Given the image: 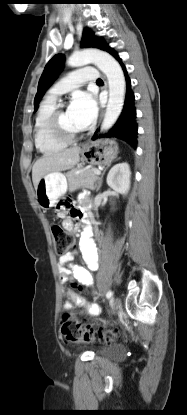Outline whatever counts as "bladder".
<instances>
[{
    "instance_id": "31cf9c89",
    "label": "bladder",
    "mask_w": 187,
    "mask_h": 415,
    "mask_svg": "<svg viewBox=\"0 0 187 415\" xmlns=\"http://www.w3.org/2000/svg\"><path fill=\"white\" fill-rule=\"evenodd\" d=\"M123 355H124V348L122 345L118 343L109 344L99 351V356L105 357V358L116 359V358L122 357Z\"/></svg>"
}]
</instances>
